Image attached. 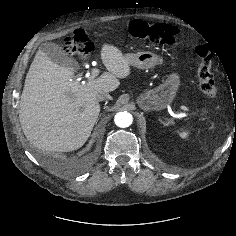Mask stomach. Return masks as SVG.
Wrapping results in <instances>:
<instances>
[{
	"label": "stomach",
	"mask_w": 236,
	"mask_h": 236,
	"mask_svg": "<svg viewBox=\"0 0 236 236\" xmlns=\"http://www.w3.org/2000/svg\"><path fill=\"white\" fill-rule=\"evenodd\" d=\"M131 65L139 69H149L163 63V58L152 52H138L127 55ZM180 85V76L172 72L167 79L154 89H150L137 98L138 105L145 111L164 109L172 103Z\"/></svg>",
	"instance_id": "obj_1"
}]
</instances>
